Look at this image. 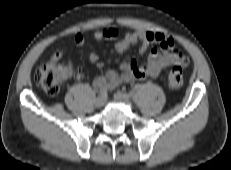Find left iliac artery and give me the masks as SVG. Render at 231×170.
<instances>
[{
	"instance_id": "obj_1",
	"label": "left iliac artery",
	"mask_w": 231,
	"mask_h": 170,
	"mask_svg": "<svg viewBox=\"0 0 231 170\" xmlns=\"http://www.w3.org/2000/svg\"><path fill=\"white\" fill-rule=\"evenodd\" d=\"M138 88H140V85L139 84H136L135 85V89H138ZM134 92L133 91H130V94L132 95Z\"/></svg>"
}]
</instances>
